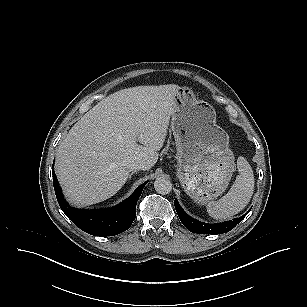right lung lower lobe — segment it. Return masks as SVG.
I'll return each instance as SVG.
<instances>
[{"label": "right lung lower lobe", "instance_id": "right-lung-lower-lobe-1", "mask_svg": "<svg viewBox=\"0 0 307 307\" xmlns=\"http://www.w3.org/2000/svg\"><path fill=\"white\" fill-rule=\"evenodd\" d=\"M53 185L58 203L65 215L81 230L94 236H114L127 230L136 217L137 201L147 181L117 206L104 210H80L68 205L65 201L54 170Z\"/></svg>", "mask_w": 307, "mask_h": 307}]
</instances>
